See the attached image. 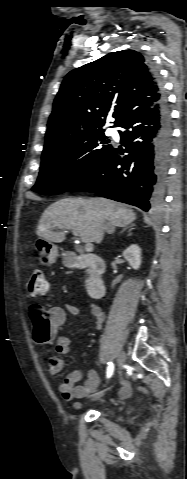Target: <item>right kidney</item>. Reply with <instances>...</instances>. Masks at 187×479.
Returning <instances> with one entry per match:
<instances>
[{
    "label": "right kidney",
    "mask_w": 187,
    "mask_h": 479,
    "mask_svg": "<svg viewBox=\"0 0 187 479\" xmlns=\"http://www.w3.org/2000/svg\"><path fill=\"white\" fill-rule=\"evenodd\" d=\"M124 258L129 262L130 266L138 270L141 265V249L133 244L123 251Z\"/></svg>",
    "instance_id": "1"
}]
</instances>
